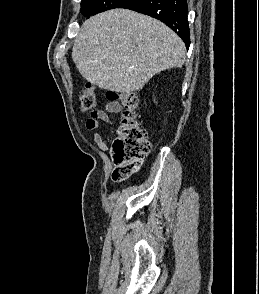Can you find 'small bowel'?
<instances>
[{"instance_id": "small-bowel-1", "label": "small bowel", "mask_w": 259, "mask_h": 294, "mask_svg": "<svg viewBox=\"0 0 259 294\" xmlns=\"http://www.w3.org/2000/svg\"><path fill=\"white\" fill-rule=\"evenodd\" d=\"M121 105L117 101L108 102L104 108L99 109L91 113L90 117L86 121V128L90 131H94L93 139L95 144L101 149L106 150L108 145L100 132V125L108 122L111 114H117L121 111Z\"/></svg>"}]
</instances>
